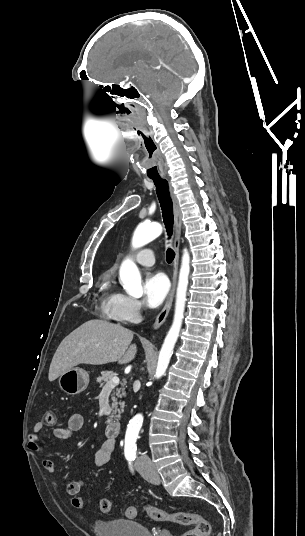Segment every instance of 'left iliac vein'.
I'll return each instance as SVG.
<instances>
[{
  "instance_id": "left-iliac-vein-1",
  "label": "left iliac vein",
  "mask_w": 305,
  "mask_h": 536,
  "mask_svg": "<svg viewBox=\"0 0 305 536\" xmlns=\"http://www.w3.org/2000/svg\"><path fill=\"white\" fill-rule=\"evenodd\" d=\"M136 467H137L138 472L144 478L148 479V481L156 485L159 484L160 477H159L158 472L153 466L146 467V466H142L139 462H136Z\"/></svg>"
}]
</instances>
